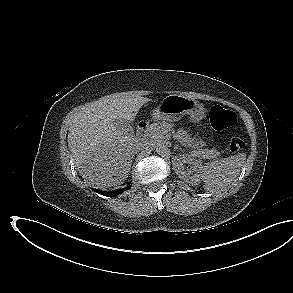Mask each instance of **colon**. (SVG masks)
<instances>
[{
    "label": "colon",
    "mask_w": 293,
    "mask_h": 293,
    "mask_svg": "<svg viewBox=\"0 0 293 293\" xmlns=\"http://www.w3.org/2000/svg\"><path fill=\"white\" fill-rule=\"evenodd\" d=\"M209 118L212 127L218 131L226 130L234 126L237 122V116L233 111L227 110L219 105L211 107ZM244 147L245 142L237 136L229 140L228 148L233 153L241 151Z\"/></svg>",
    "instance_id": "1"
}]
</instances>
